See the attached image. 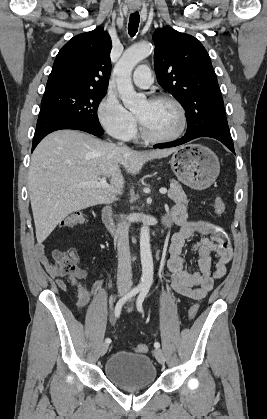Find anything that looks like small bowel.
Returning a JSON list of instances; mask_svg holds the SVG:
<instances>
[{"mask_svg":"<svg viewBox=\"0 0 267 419\" xmlns=\"http://www.w3.org/2000/svg\"><path fill=\"white\" fill-rule=\"evenodd\" d=\"M167 218L180 227V230L172 236L169 248L170 258L167 262L166 276L170 280L171 288L186 298L203 299L212 290L214 281L226 274L227 265L232 258V248L228 238L224 230L212 221L189 219L187 206L182 203L174 205ZM194 236H199V239L191 245V250L197 256L198 269L189 272L184 268V258L181 254L186 242ZM69 252L77 256L75 248ZM35 253L38 261L50 276L55 278L61 290L66 291L68 284L76 288L77 308L81 313L87 309L91 298L99 295L100 288L106 283L104 279H100L87 286L84 271L65 278L54 269L46 255L44 245H37ZM212 263H214L213 268Z\"/></svg>","mask_w":267,"mask_h":419,"instance_id":"1","label":"small bowel"}]
</instances>
